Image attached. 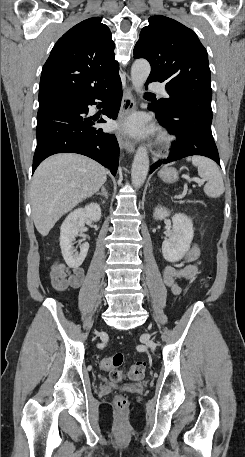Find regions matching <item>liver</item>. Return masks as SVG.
<instances>
[{"mask_svg":"<svg viewBox=\"0 0 245 457\" xmlns=\"http://www.w3.org/2000/svg\"><path fill=\"white\" fill-rule=\"evenodd\" d=\"M107 180V170L88 156L61 152L43 160L31 182L32 218L42 237L62 214L92 196Z\"/></svg>","mask_w":245,"mask_h":457,"instance_id":"6515ba94","label":"liver"}]
</instances>
